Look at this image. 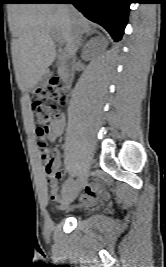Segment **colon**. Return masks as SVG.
<instances>
[{
	"label": "colon",
	"mask_w": 166,
	"mask_h": 267,
	"mask_svg": "<svg viewBox=\"0 0 166 267\" xmlns=\"http://www.w3.org/2000/svg\"><path fill=\"white\" fill-rule=\"evenodd\" d=\"M68 95L65 91V84L59 78H53L47 85L38 89L36 98L32 102V112L37 123V135L42 159L45 161L44 172L48 178L56 174L53 165L51 149L46 143L50 125L62 117L60 105H65Z\"/></svg>",
	"instance_id": "colon-1"
}]
</instances>
